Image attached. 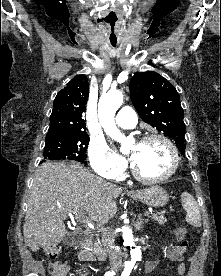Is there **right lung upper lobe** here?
<instances>
[{
    "instance_id": "1",
    "label": "right lung upper lobe",
    "mask_w": 221,
    "mask_h": 276,
    "mask_svg": "<svg viewBox=\"0 0 221 276\" xmlns=\"http://www.w3.org/2000/svg\"><path fill=\"white\" fill-rule=\"evenodd\" d=\"M88 95L89 84L85 75H78L67 83L54 100L47 136L86 132L82 115Z\"/></svg>"
}]
</instances>
